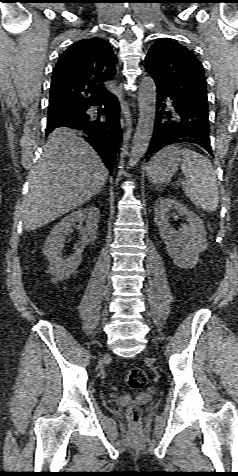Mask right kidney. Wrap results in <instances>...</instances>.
Listing matches in <instances>:
<instances>
[{"mask_svg":"<svg viewBox=\"0 0 238 476\" xmlns=\"http://www.w3.org/2000/svg\"><path fill=\"white\" fill-rule=\"evenodd\" d=\"M99 218L100 213L96 207H86L64 217L52 229L44 243L43 254L49 261V272L55 280L62 281L69 278L80 265L84 248L96 238ZM75 222L79 223L77 229L81 238L77 245L80 247L76 248L72 256L63 258L61 246ZM83 222H85V225L82 224Z\"/></svg>","mask_w":238,"mask_h":476,"instance_id":"1","label":"right kidney"}]
</instances>
